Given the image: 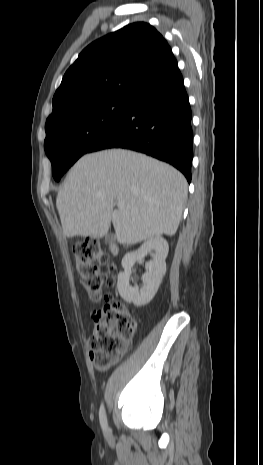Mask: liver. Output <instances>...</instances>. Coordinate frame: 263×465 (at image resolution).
<instances>
[{
    "label": "liver",
    "mask_w": 263,
    "mask_h": 465,
    "mask_svg": "<svg viewBox=\"0 0 263 465\" xmlns=\"http://www.w3.org/2000/svg\"><path fill=\"white\" fill-rule=\"evenodd\" d=\"M187 181L146 155L110 149L81 157L56 198L66 237H103L111 222L118 243L173 236L187 198ZM123 208L114 209V204Z\"/></svg>",
    "instance_id": "6515ba94"
}]
</instances>
